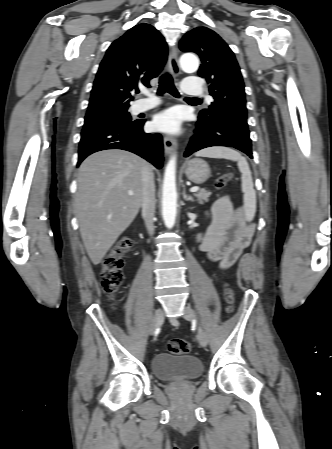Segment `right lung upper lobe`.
Wrapping results in <instances>:
<instances>
[{
    "label": "right lung upper lobe",
    "instance_id": "cb5924a9",
    "mask_svg": "<svg viewBox=\"0 0 332 449\" xmlns=\"http://www.w3.org/2000/svg\"><path fill=\"white\" fill-rule=\"evenodd\" d=\"M167 60V44L151 25L142 23L115 40L103 58L91 91L89 112L129 107L138 85L150 87Z\"/></svg>",
    "mask_w": 332,
    "mask_h": 449
}]
</instances>
